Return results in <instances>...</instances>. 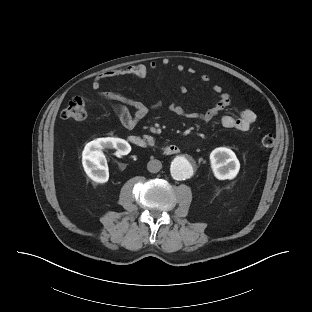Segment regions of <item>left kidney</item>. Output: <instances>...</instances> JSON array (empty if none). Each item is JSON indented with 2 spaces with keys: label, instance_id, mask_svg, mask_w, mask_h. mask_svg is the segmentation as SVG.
<instances>
[{
  "label": "left kidney",
  "instance_id": "5707ae66",
  "mask_svg": "<svg viewBox=\"0 0 312 312\" xmlns=\"http://www.w3.org/2000/svg\"><path fill=\"white\" fill-rule=\"evenodd\" d=\"M211 168L219 180L234 179L240 169V163L235 153L226 147L214 149L210 154Z\"/></svg>",
  "mask_w": 312,
  "mask_h": 312
}]
</instances>
